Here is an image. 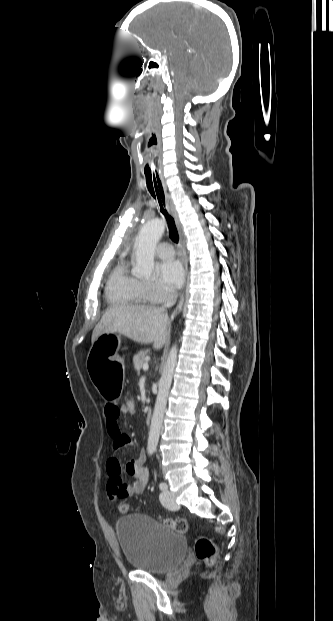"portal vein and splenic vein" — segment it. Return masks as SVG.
<instances>
[{"mask_svg":"<svg viewBox=\"0 0 333 621\" xmlns=\"http://www.w3.org/2000/svg\"><path fill=\"white\" fill-rule=\"evenodd\" d=\"M148 368H149L148 364H146V363L143 364V370H148Z\"/></svg>","mask_w":333,"mask_h":621,"instance_id":"1","label":"portal vein and splenic vein"}]
</instances>
